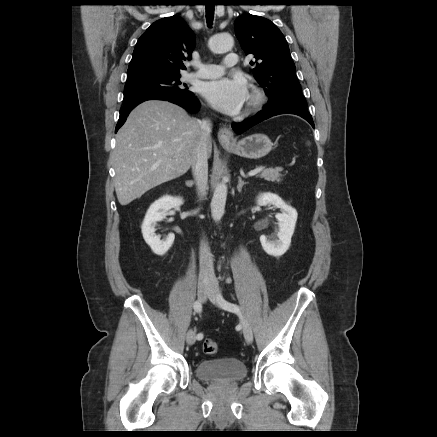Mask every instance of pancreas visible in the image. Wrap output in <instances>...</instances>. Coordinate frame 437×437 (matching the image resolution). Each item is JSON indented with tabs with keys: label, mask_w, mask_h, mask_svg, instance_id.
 Segmentation results:
<instances>
[{
	"label": "pancreas",
	"mask_w": 437,
	"mask_h": 437,
	"mask_svg": "<svg viewBox=\"0 0 437 437\" xmlns=\"http://www.w3.org/2000/svg\"><path fill=\"white\" fill-rule=\"evenodd\" d=\"M282 171V168H268L264 169L262 168L261 173L258 175L260 178H264L267 181L272 182H281L282 175L280 172Z\"/></svg>",
	"instance_id": "obj_1"
}]
</instances>
